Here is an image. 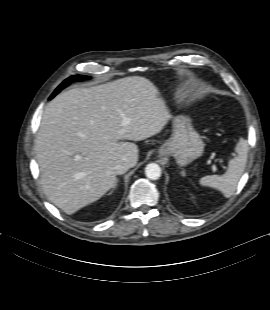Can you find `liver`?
<instances>
[{"label": "liver", "instance_id": "liver-1", "mask_svg": "<svg viewBox=\"0 0 270 310\" xmlns=\"http://www.w3.org/2000/svg\"><path fill=\"white\" fill-rule=\"evenodd\" d=\"M171 118L156 86L140 76L89 89H71L46 107L35 140L45 195L71 215L100 199L116 183L115 164L134 167L141 141Z\"/></svg>", "mask_w": 270, "mask_h": 310}]
</instances>
